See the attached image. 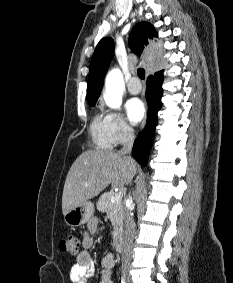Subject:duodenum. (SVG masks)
I'll return each instance as SVG.
<instances>
[{"instance_id":"1","label":"duodenum","mask_w":233,"mask_h":283,"mask_svg":"<svg viewBox=\"0 0 233 283\" xmlns=\"http://www.w3.org/2000/svg\"><path fill=\"white\" fill-rule=\"evenodd\" d=\"M115 246H116V250H117V251H121V248H122V239H121L119 236L116 237Z\"/></svg>"}]
</instances>
